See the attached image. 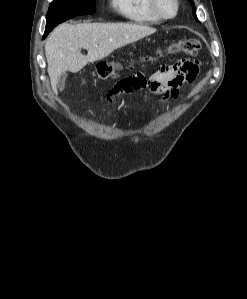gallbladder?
Segmentation results:
<instances>
[{"label": "gallbladder", "instance_id": "gallbladder-1", "mask_svg": "<svg viewBox=\"0 0 247 299\" xmlns=\"http://www.w3.org/2000/svg\"><path fill=\"white\" fill-rule=\"evenodd\" d=\"M67 74L66 73H62L57 80V88L59 90H63L65 88V83H66V79H67Z\"/></svg>", "mask_w": 247, "mask_h": 299}]
</instances>
